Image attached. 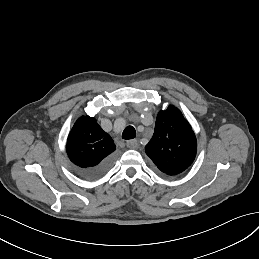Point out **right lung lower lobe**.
Segmentation results:
<instances>
[{
    "label": "right lung lower lobe",
    "instance_id": "98d812e1",
    "mask_svg": "<svg viewBox=\"0 0 259 259\" xmlns=\"http://www.w3.org/2000/svg\"><path fill=\"white\" fill-rule=\"evenodd\" d=\"M113 164L114 156L111 155L93 167L82 168L76 166L74 167V172L82 178L95 179L107 173L112 168Z\"/></svg>",
    "mask_w": 259,
    "mask_h": 259
}]
</instances>
